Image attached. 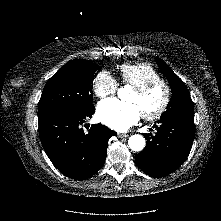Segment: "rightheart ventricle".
I'll use <instances>...</instances> for the list:
<instances>
[{"instance_id": "1", "label": "right heart ventricle", "mask_w": 221, "mask_h": 221, "mask_svg": "<svg viewBox=\"0 0 221 221\" xmlns=\"http://www.w3.org/2000/svg\"><path fill=\"white\" fill-rule=\"evenodd\" d=\"M121 80L132 87L160 79L159 73L147 63H124L118 67Z\"/></svg>"}]
</instances>
